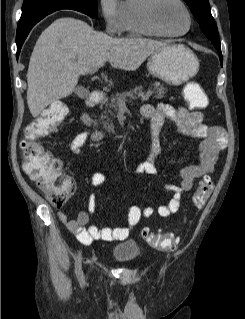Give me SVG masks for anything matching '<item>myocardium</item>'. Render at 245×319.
<instances>
[{"label":"myocardium","mask_w":245,"mask_h":319,"mask_svg":"<svg viewBox=\"0 0 245 319\" xmlns=\"http://www.w3.org/2000/svg\"><path fill=\"white\" fill-rule=\"evenodd\" d=\"M179 4L182 9L185 11L188 19V25L184 31L181 32H171L168 31L158 20L157 18V8L163 0H146V3L143 7V18L146 25L157 32L158 34L166 37H179L187 34L192 27L193 19L192 14L187 7V5L182 0H172Z\"/></svg>","instance_id":"1"}]
</instances>
